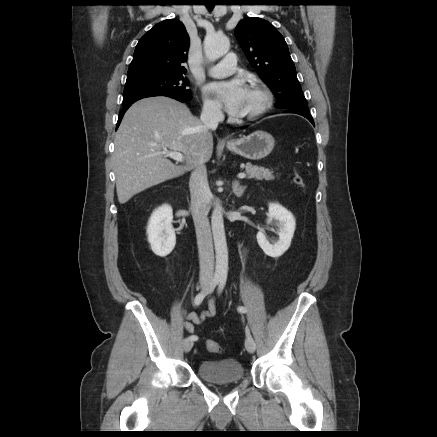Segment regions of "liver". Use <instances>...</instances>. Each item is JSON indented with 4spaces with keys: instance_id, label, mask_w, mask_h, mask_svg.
I'll use <instances>...</instances> for the list:
<instances>
[{
    "instance_id": "6515ba94",
    "label": "liver",
    "mask_w": 437,
    "mask_h": 437,
    "mask_svg": "<svg viewBox=\"0 0 437 437\" xmlns=\"http://www.w3.org/2000/svg\"><path fill=\"white\" fill-rule=\"evenodd\" d=\"M112 156L118 201L182 176L210 160L213 136L188 107L158 96L135 102L115 134ZM162 149L180 152L183 165L173 164Z\"/></svg>"
}]
</instances>
